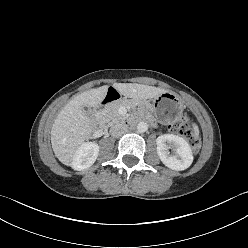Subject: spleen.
<instances>
[{
	"label": "spleen",
	"instance_id": "obj_1",
	"mask_svg": "<svg viewBox=\"0 0 248 248\" xmlns=\"http://www.w3.org/2000/svg\"><path fill=\"white\" fill-rule=\"evenodd\" d=\"M193 127H194L195 134L198 135L199 134L198 127L196 125H193Z\"/></svg>",
	"mask_w": 248,
	"mask_h": 248
}]
</instances>
